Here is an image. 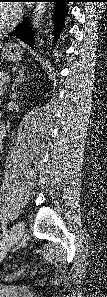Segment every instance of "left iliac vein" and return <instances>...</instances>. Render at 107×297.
Wrapping results in <instances>:
<instances>
[{
	"label": "left iliac vein",
	"instance_id": "left-iliac-vein-1",
	"mask_svg": "<svg viewBox=\"0 0 107 297\" xmlns=\"http://www.w3.org/2000/svg\"><path fill=\"white\" fill-rule=\"evenodd\" d=\"M25 232V225L24 222H17L11 229L10 235H9V244L8 247H12L13 245H15L18 240L23 236ZM3 257V253L2 256Z\"/></svg>",
	"mask_w": 107,
	"mask_h": 297
}]
</instances>
